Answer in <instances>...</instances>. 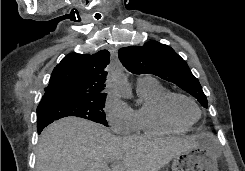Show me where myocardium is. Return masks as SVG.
<instances>
[{
	"mask_svg": "<svg viewBox=\"0 0 245 171\" xmlns=\"http://www.w3.org/2000/svg\"><path fill=\"white\" fill-rule=\"evenodd\" d=\"M178 99L187 100V101L191 102L196 107V109L198 111V116H197V118L194 121H192V122L184 121L183 119H181L176 114L175 109H174V105H175L176 100H178ZM162 109H163V112H164L165 116L171 122H173L175 124H178V125L185 126V127H190V126L194 125L196 122L199 121V119L201 118V115H202L201 108L198 105V103L196 102V100H194L190 96H187V95L182 94V93H176V92H170L164 98L163 103H162Z\"/></svg>",
	"mask_w": 245,
	"mask_h": 171,
	"instance_id": "obj_1",
	"label": "myocardium"
}]
</instances>
